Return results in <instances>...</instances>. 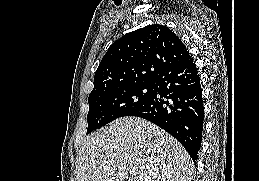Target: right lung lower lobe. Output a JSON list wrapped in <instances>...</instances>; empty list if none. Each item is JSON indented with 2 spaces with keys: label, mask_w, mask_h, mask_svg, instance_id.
<instances>
[{
  "label": "right lung lower lobe",
  "mask_w": 259,
  "mask_h": 181,
  "mask_svg": "<svg viewBox=\"0 0 259 181\" xmlns=\"http://www.w3.org/2000/svg\"><path fill=\"white\" fill-rule=\"evenodd\" d=\"M130 116L141 117L175 137L195 162L201 146L204 108L200 77L190 55L162 72L148 101Z\"/></svg>",
  "instance_id": "1"
}]
</instances>
